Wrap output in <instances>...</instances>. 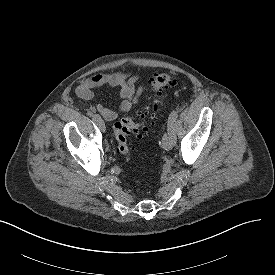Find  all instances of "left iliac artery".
Wrapping results in <instances>:
<instances>
[{"mask_svg":"<svg viewBox=\"0 0 275 275\" xmlns=\"http://www.w3.org/2000/svg\"><path fill=\"white\" fill-rule=\"evenodd\" d=\"M177 117H178V112L173 111V112H171V114L169 115V118H168V127L174 133V144L176 143L175 123H176Z\"/></svg>","mask_w":275,"mask_h":275,"instance_id":"1","label":"left iliac artery"}]
</instances>
